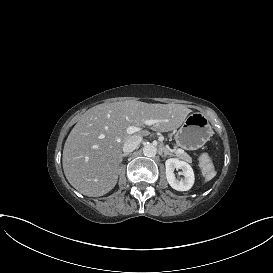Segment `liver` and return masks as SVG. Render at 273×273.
Segmentation results:
<instances>
[{
  "label": "liver",
  "instance_id": "liver-1",
  "mask_svg": "<svg viewBox=\"0 0 273 273\" xmlns=\"http://www.w3.org/2000/svg\"><path fill=\"white\" fill-rule=\"evenodd\" d=\"M192 112L182 104H148L126 100L99 104L89 109L71 130L63 150V170L69 183L80 193L98 197L117 183L122 162V148L132 136H147L148 131L134 135L130 126L142 127L155 120L151 129L168 132L180 127Z\"/></svg>",
  "mask_w": 273,
  "mask_h": 273
}]
</instances>
